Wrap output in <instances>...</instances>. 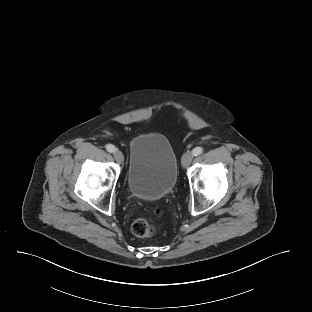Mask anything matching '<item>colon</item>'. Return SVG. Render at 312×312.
I'll list each match as a JSON object with an SVG mask.
<instances>
[{"mask_svg": "<svg viewBox=\"0 0 312 312\" xmlns=\"http://www.w3.org/2000/svg\"><path fill=\"white\" fill-rule=\"evenodd\" d=\"M153 214L155 216H160L161 210L156 208L154 209ZM131 229L133 234L139 238H150L157 232L156 228L151 224V219L148 217L135 220Z\"/></svg>", "mask_w": 312, "mask_h": 312, "instance_id": "1", "label": "colon"}]
</instances>
